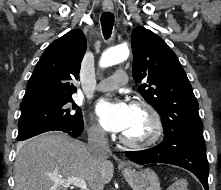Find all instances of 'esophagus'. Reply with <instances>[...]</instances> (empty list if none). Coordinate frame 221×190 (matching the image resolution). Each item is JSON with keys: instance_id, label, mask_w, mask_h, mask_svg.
I'll list each match as a JSON object with an SVG mask.
<instances>
[{"instance_id": "esophagus-1", "label": "esophagus", "mask_w": 221, "mask_h": 190, "mask_svg": "<svg viewBox=\"0 0 221 190\" xmlns=\"http://www.w3.org/2000/svg\"><path fill=\"white\" fill-rule=\"evenodd\" d=\"M103 10L106 12H112L113 11V4L109 0H105L103 2Z\"/></svg>"}]
</instances>
